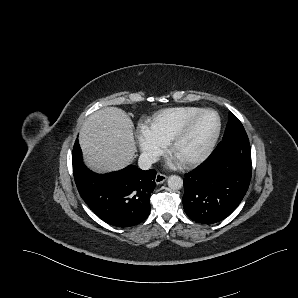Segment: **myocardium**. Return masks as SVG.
Wrapping results in <instances>:
<instances>
[{
    "mask_svg": "<svg viewBox=\"0 0 298 298\" xmlns=\"http://www.w3.org/2000/svg\"><path fill=\"white\" fill-rule=\"evenodd\" d=\"M206 114H212L215 117L216 121V128L211 136V138L207 141V143L203 146V148L193 157L187 159L184 161L182 164L184 166H192L197 163L202 162L210 153L211 149L213 148L214 144L216 143L219 134H220V129H221V122L220 118L217 114V112L210 110V109H202L198 113L190 116L186 120H184L181 124L176 126L172 133L166 137V142H167V150H168V155L171 157L172 152L177 145L178 141L181 139V137L192 127V125L203 115Z\"/></svg>",
    "mask_w": 298,
    "mask_h": 298,
    "instance_id": "f54148a6",
    "label": "myocardium"
}]
</instances>
